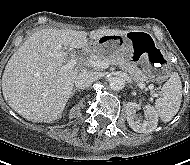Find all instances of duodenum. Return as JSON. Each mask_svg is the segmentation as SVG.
Listing matches in <instances>:
<instances>
[{"label": "duodenum", "instance_id": "410a0bca", "mask_svg": "<svg viewBox=\"0 0 190 165\" xmlns=\"http://www.w3.org/2000/svg\"><path fill=\"white\" fill-rule=\"evenodd\" d=\"M87 49H89V47L87 46V47H85V50H87Z\"/></svg>", "mask_w": 190, "mask_h": 165}]
</instances>
